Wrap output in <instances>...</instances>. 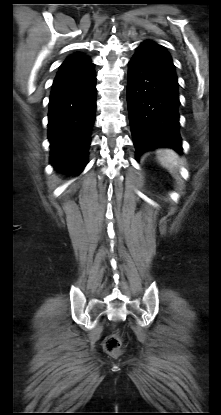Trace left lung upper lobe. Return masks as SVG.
I'll return each instance as SVG.
<instances>
[{
  "label": "left lung upper lobe",
  "mask_w": 221,
  "mask_h": 415,
  "mask_svg": "<svg viewBox=\"0 0 221 415\" xmlns=\"http://www.w3.org/2000/svg\"><path fill=\"white\" fill-rule=\"evenodd\" d=\"M134 56L148 59L156 63L157 65L163 67L172 75L176 76L175 66L172 62L170 54L163 46L155 42H143L139 47H137Z\"/></svg>",
  "instance_id": "5c2ea615"
}]
</instances>
